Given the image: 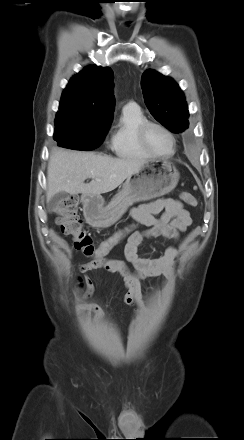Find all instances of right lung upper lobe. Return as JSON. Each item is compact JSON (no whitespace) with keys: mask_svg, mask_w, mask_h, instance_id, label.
Listing matches in <instances>:
<instances>
[{"mask_svg":"<svg viewBox=\"0 0 244 440\" xmlns=\"http://www.w3.org/2000/svg\"><path fill=\"white\" fill-rule=\"evenodd\" d=\"M113 71L88 66L74 75L64 89L55 122L68 119L111 123L114 109Z\"/></svg>","mask_w":244,"mask_h":440,"instance_id":"cb5924a9","label":"right lung upper lobe"}]
</instances>
